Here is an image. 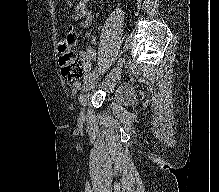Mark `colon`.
<instances>
[{"instance_id":"obj_1","label":"colon","mask_w":219,"mask_h":192,"mask_svg":"<svg viewBox=\"0 0 219 192\" xmlns=\"http://www.w3.org/2000/svg\"><path fill=\"white\" fill-rule=\"evenodd\" d=\"M76 41V34L69 29L60 41V64L62 76L70 81L80 79L85 70L84 62L77 56L73 50Z\"/></svg>"}]
</instances>
